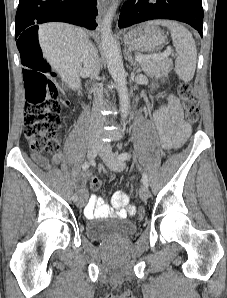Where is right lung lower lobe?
I'll use <instances>...</instances> for the list:
<instances>
[{
	"instance_id": "obj_1",
	"label": "right lung lower lobe",
	"mask_w": 227,
	"mask_h": 298,
	"mask_svg": "<svg viewBox=\"0 0 227 298\" xmlns=\"http://www.w3.org/2000/svg\"><path fill=\"white\" fill-rule=\"evenodd\" d=\"M97 0H20L15 19V38L23 65L25 46L34 37L38 25L45 22H67L94 30L97 26Z\"/></svg>"
}]
</instances>
